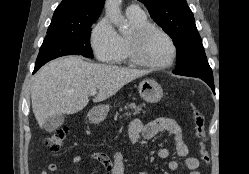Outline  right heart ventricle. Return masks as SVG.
Returning <instances> with one entry per match:
<instances>
[{"label":"right heart ventricle","mask_w":249,"mask_h":174,"mask_svg":"<svg viewBox=\"0 0 249 174\" xmlns=\"http://www.w3.org/2000/svg\"><path fill=\"white\" fill-rule=\"evenodd\" d=\"M127 15V19L130 23L132 32L143 27L146 26L149 23L147 17L145 15ZM128 37L129 35H120V43H121V53L119 55V57L113 62L115 64H127L130 63V58L127 52V41H128Z\"/></svg>","instance_id":"e07e8e85"}]
</instances>
